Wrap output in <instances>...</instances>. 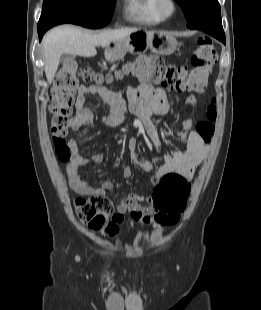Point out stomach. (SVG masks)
Instances as JSON below:
<instances>
[{
  "label": "stomach",
  "mask_w": 261,
  "mask_h": 310,
  "mask_svg": "<svg viewBox=\"0 0 261 310\" xmlns=\"http://www.w3.org/2000/svg\"><path fill=\"white\" fill-rule=\"evenodd\" d=\"M178 46V41L170 33L163 31L138 30L121 41H112L105 50L109 61H117L127 52L142 53L150 49L159 55H170Z\"/></svg>",
  "instance_id": "0dacf381"
}]
</instances>
